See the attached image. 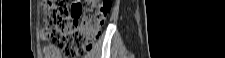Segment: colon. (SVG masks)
Wrapping results in <instances>:
<instances>
[{
    "mask_svg": "<svg viewBox=\"0 0 225 58\" xmlns=\"http://www.w3.org/2000/svg\"><path fill=\"white\" fill-rule=\"evenodd\" d=\"M109 0H48L44 5L41 38L46 56L77 57L98 40L111 10Z\"/></svg>",
    "mask_w": 225,
    "mask_h": 58,
    "instance_id": "colon-1",
    "label": "colon"
}]
</instances>
